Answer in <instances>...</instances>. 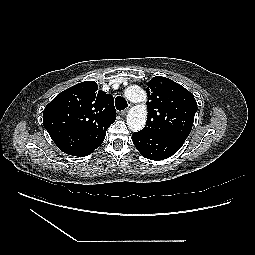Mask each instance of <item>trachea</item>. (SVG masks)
<instances>
[{"instance_id": "obj_1", "label": "trachea", "mask_w": 255, "mask_h": 255, "mask_svg": "<svg viewBox=\"0 0 255 255\" xmlns=\"http://www.w3.org/2000/svg\"><path fill=\"white\" fill-rule=\"evenodd\" d=\"M115 106L117 110H124L128 107L127 101L122 96H118L115 99Z\"/></svg>"}]
</instances>
